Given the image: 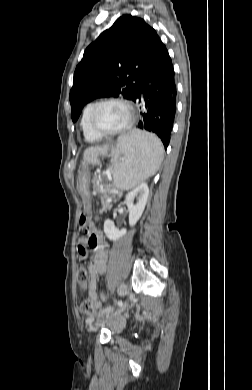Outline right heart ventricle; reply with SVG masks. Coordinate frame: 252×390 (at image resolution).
<instances>
[{
    "label": "right heart ventricle",
    "instance_id": "right-heart-ventricle-1",
    "mask_svg": "<svg viewBox=\"0 0 252 390\" xmlns=\"http://www.w3.org/2000/svg\"><path fill=\"white\" fill-rule=\"evenodd\" d=\"M93 105H94V103H88L84 107L83 112H82V116H81V121H80V126L82 129L83 135L88 142H97L103 138V136H101L100 134L95 132L91 128V125H90L89 118H90V112H91Z\"/></svg>",
    "mask_w": 252,
    "mask_h": 390
}]
</instances>
